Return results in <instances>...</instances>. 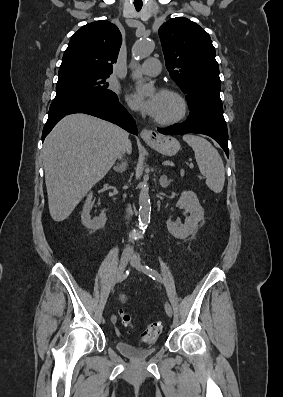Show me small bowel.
Returning a JSON list of instances; mask_svg holds the SVG:
<instances>
[{"mask_svg": "<svg viewBox=\"0 0 283 397\" xmlns=\"http://www.w3.org/2000/svg\"><path fill=\"white\" fill-rule=\"evenodd\" d=\"M118 300H119V303L123 305V304H126L128 302L129 297L127 295H125V294H119L118 295ZM112 321L114 323L116 322V317L115 316H112Z\"/></svg>", "mask_w": 283, "mask_h": 397, "instance_id": "obj_1", "label": "small bowel"}]
</instances>
